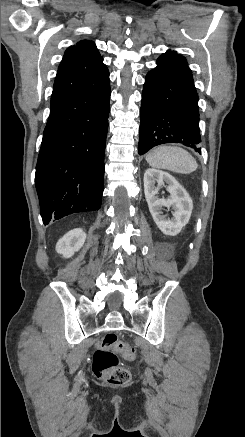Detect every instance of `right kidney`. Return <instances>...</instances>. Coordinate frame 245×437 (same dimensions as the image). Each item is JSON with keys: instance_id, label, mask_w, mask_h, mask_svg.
I'll return each mask as SVG.
<instances>
[{"instance_id": "1", "label": "right kidney", "mask_w": 245, "mask_h": 437, "mask_svg": "<svg viewBox=\"0 0 245 437\" xmlns=\"http://www.w3.org/2000/svg\"><path fill=\"white\" fill-rule=\"evenodd\" d=\"M86 239L85 232L80 229H74L65 234L56 244V251L65 258H70L84 244Z\"/></svg>"}]
</instances>
